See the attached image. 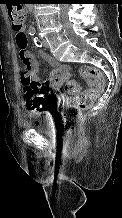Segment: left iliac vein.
Masks as SVG:
<instances>
[{"label": "left iliac vein", "instance_id": "4c4485c4", "mask_svg": "<svg viewBox=\"0 0 122 218\" xmlns=\"http://www.w3.org/2000/svg\"><path fill=\"white\" fill-rule=\"evenodd\" d=\"M42 45H43L46 49L49 48V44H48V42H47L45 39L42 40Z\"/></svg>", "mask_w": 122, "mask_h": 218}]
</instances>
